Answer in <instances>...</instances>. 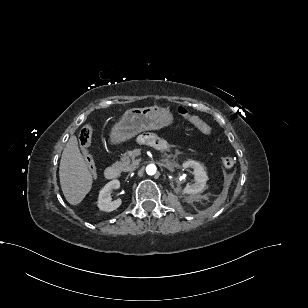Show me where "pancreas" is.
Returning <instances> with one entry per match:
<instances>
[{
  "mask_svg": "<svg viewBox=\"0 0 308 308\" xmlns=\"http://www.w3.org/2000/svg\"><path fill=\"white\" fill-rule=\"evenodd\" d=\"M140 159H136L133 151H127L120 162H116L114 165L119 167L123 171H132L139 164Z\"/></svg>",
  "mask_w": 308,
  "mask_h": 308,
  "instance_id": "pancreas-1",
  "label": "pancreas"
}]
</instances>
